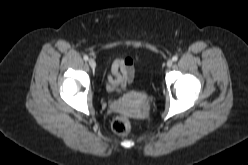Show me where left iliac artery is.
I'll list each match as a JSON object with an SVG mask.
<instances>
[{"instance_id":"1","label":"left iliac artery","mask_w":248,"mask_h":165,"mask_svg":"<svg viewBox=\"0 0 248 165\" xmlns=\"http://www.w3.org/2000/svg\"><path fill=\"white\" fill-rule=\"evenodd\" d=\"M172 60L173 61H177L178 60V57L175 55V56H173Z\"/></svg>"}]
</instances>
